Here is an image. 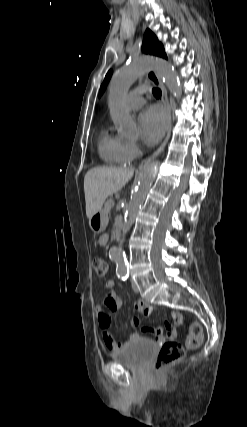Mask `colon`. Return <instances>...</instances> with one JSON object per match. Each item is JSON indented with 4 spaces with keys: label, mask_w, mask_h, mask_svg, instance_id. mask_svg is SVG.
Returning a JSON list of instances; mask_svg holds the SVG:
<instances>
[{
    "label": "colon",
    "mask_w": 247,
    "mask_h": 427,
    "mask_svg": "<svg viewBox=\"0 0 247 427\" xmlns=\"http://www.w3.org/2000/svg\"><path fill=\"white\" fill-rule=\"evenodd\" d=\"M93 268L99 277H106L108 273V264L105 260L95 259L93 261ZM202 341V328L199 324L193 323L185 346L175 341H167L162 345L155 361V370L160 372L168 366L178 362L185 356L186 348L197 349L201 346Z\"/></svg>",
    "instance_id": "obj_1"
}]
</instances>
